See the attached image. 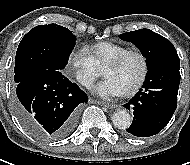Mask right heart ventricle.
Segmentation results:
<instances>
[{"instance_id":"obj_1","label":"right heart ventricle","mask_w":190,"mask_h":165,"mask_svg":"<svg viewBox=\"0 0 190 165\" xmlns=\"http://www.w3.org/2000/svg\"><path fill=\"white\" fill-rule=\"evenodd\" d=\"M87 50L93 57L97 66L99 68H104L109 61L129 50V48L120 43L102 41L90 45Z\"/></svg>"}]
</instances>
